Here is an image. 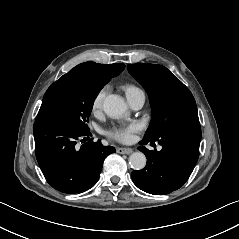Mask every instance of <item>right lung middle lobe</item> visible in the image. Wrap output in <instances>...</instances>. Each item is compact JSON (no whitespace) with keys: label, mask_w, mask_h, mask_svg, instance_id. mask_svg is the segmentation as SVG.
Returning <instances> with one entry per match:
<instances>
[{"label":"right lung middle lobe","mask_w":239,"mask_h":239,"mask_svg":"<svg viewBox=\"0 0 239 239\" xmlns=\"http://www.w3.org/2000/svg\"><path fill=\"white\" fill-rule=\"evenodd\" d=\"M107 81L82 77L70 70L46 91L35 121L59 119L78 130H88L94 100Z\"/></svg>","instance_id":"obj_1"}]
</instances>
